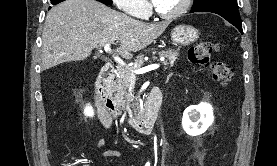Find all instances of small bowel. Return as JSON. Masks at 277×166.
<instances>
[{"label":"small bowel","instance_id":"c3829d8e","mask_svg":"<svg viewBox=\"0 0 277 166\" xmlns=\"http://www.w3.org/2000/svg\"><path fill=\"white\" fill-rule=\"evenodd\" d=\"M99 119L101 121V123L103 124V126L107 129L111 128L112 124L109 123L108 121L104 120L103 118H101L100 114L98 113ZM105 145V139L101 138L97 141L96 143V147L97 148H101ZM119 155V151L115 150V149H108L106 151L103 152V156H118Z\"/></svg>","mask_w":277,"mask_h":166}]
</instances>
